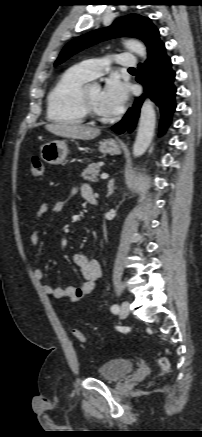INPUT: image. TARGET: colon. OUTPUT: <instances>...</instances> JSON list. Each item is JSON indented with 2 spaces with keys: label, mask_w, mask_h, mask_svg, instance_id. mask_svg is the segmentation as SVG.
I'll use <instances>...</instances> for the list:
<instances>
[{
  "label": "colon",
  "mask_w": 202,
  "mask_h": 437,
  "mask_svg": "<svg viewBox=\"0 0 202 437\" xmlns=\"http://www.w3.org/2000/svg\"><path fill=\"white\" fill-rule=\"evenodd\" d=\"M30 172L34 177H42L44 174V164L43 161L38 156H33L30 162ZM72 334L75 339L81 343L86 341L84 334L78 330L73 329ZM156 363L160 368L161 374L168 372L170 363L169 360L164 356H159L156 358Z\"/></svg>",
  "instance_id": "5ec220e1"
}]
</instances>
